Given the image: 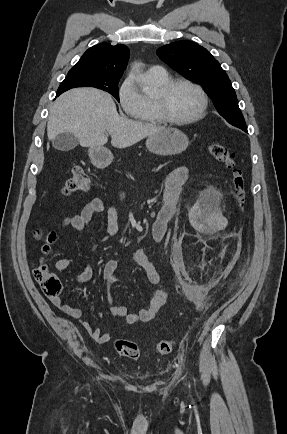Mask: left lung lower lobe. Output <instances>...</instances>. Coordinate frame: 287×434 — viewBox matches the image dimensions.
Returning <instances> with one entry per match:
<instances>
[{"label":"left lung lower lobe","mask_w":287,"mask_h":434,"mask_svg":"<svg viewBox=\"0 0 287 434\" xmlns=\"http://www.w3.org/2000/svg\"><path fill=\"white\" fill-rule=\"evenodd\" d=\"M234 126H236V127L240 128V129H242L243 131L247 132L246 125H234Z\"/></svg>","instance_id":"0a47b994"}]
</instances>
